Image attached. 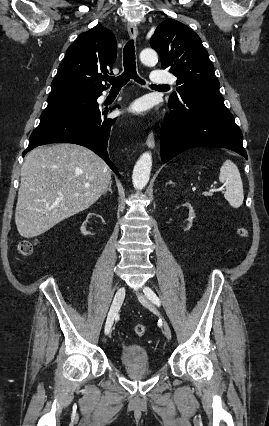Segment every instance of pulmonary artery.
<instances>
[{
	"label": "pulmonary artery",
	"instance_id": "obj_1",
	"mask_svg": "<svg viewBox=\"0 0 269 426\" xmlns=\"http://www.w3.org/2000/svg\"><path fill=\"white\" fill-rule=\"evenodd\" d=\"M150 78L154 83L158 85H162V86H168L170 84H174L176 81V78L174 77V75L169 74L161 69L153 70L151 72Z\"/></svg>",
	"mask_w": 269,
	"mask_h": 426
}]
</instances>
